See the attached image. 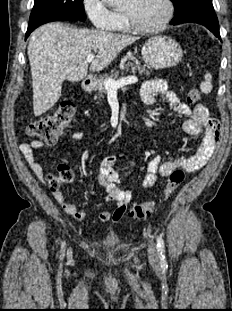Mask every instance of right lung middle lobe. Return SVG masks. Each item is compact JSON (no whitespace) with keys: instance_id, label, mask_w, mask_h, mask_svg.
<instances>
[{"instance_id":"dd1d6c3e","label":"right lung middle lobe","mask_w":232,"mask_h":311,"mask_svg":"<svg viewBox=\"0 0 232 311\" xmlns=\"http://www.w3.org/2000/svg\"><path fill=\"white\" fill-rule=\"evenodd\" d=\"M52 15H67L84 21L83 0H35L29 22Z\"/></svg>"}]
</instances>
